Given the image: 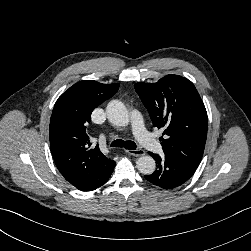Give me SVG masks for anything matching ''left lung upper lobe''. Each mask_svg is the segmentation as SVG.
<instances>
[{
    "mask_svg": "<svg viewBox=\"0 0 251 251\" xmlns=\"http://www.w3.org/2000/svg\"><path fill=\"white\" fill-rule=\"evenodd\" d=\"M147 108L166 156L198 167L207 137V112L194 84L178 75H167L156 83L134 85Z\"/></svg>",
    "mask_w": 251,
    "mask_h": 251,
    "instance_id": "5c2ea615",
    "label": "left lung upper lobe"
}]
</instances>
